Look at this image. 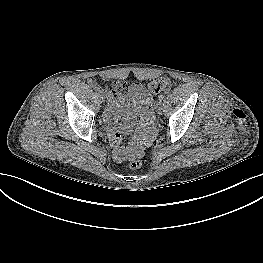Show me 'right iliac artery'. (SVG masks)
Returning a JSON list of instances; mask_svg holds the SVG:
<instances>
[{
  "label": "right iliac artery",
  "instance_id": "right-iliac-artery-1",
  "mask_svg": "<svg viewBox=\"0 0 263 263\" xmlns=\"http://www.w3.org/2000/svg\"><path fill=\"white\" fill-rule=\"evenodd\" d=\"M95 91H96L97 93H102V92H103V89L100 88V87H96V88H95Z\"/></svg>",
  "mask_w": 263,
  "mask_h": 263
}]
</instances>
